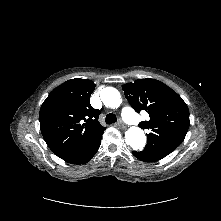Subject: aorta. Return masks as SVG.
<instances>
[{"label":"aorta","mask_w":221,"mask_h":221,"mask_svg":"<svg viewBox=\"0 0 221 221\" xmlns=\"http://www.w3.org/2000/svg\"><path fill=\"white\" fill-rule=\"evenodd\" d=\"M101 100L110 108H118L122 102L120 92L113 87H106L101 91ZM125 141L134 150H141L146 144L144 131L139 127H131L125 132Z\"/></svg>","instance_id":"1"}]
</instances>
